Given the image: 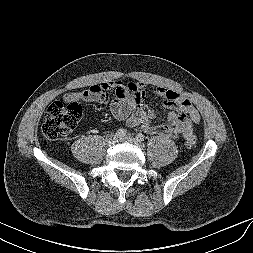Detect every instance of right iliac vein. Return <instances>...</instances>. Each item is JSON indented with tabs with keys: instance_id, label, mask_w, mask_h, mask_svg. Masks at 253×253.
<instances>
[{
	"instance_id": "obj_1",
	"label": "right iliac vein",
	"mask_w": 253,
	"mask_h": 253,
	"mask_svg": "<svg viewBox=\"0 0 253 253\" xmlns=\"http://www.w3.org/2000/svg\"><path fill=\"white\" fill-rule=\"evenodd\" d=\"M118 142V137L116 135H110L107 139V143L109 146H113Z\"/></svg>"
}]
</instances>
